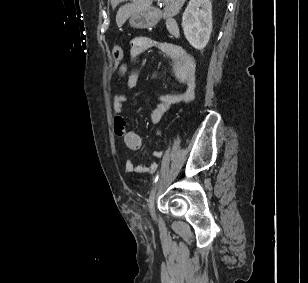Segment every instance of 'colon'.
Wrapping results in <instances>:
<instances>
[{
  "instance_id": "colon-1",
  "label": "colon",
  "mask_w": 308,
  "mask_h": 283,
  "mask_svg": "<svg viewBox=\"0 0 308 283\" xmlns=\"http://www.w3.org/2000/svg\"><path fill=\"white\" fill-rule=\"evenodd\" d=\"M113 59L116 64H119L124 56L123 49L121 46H115L112 51Z\"/></svg>"
}]
</instances>
